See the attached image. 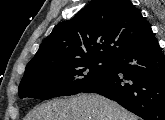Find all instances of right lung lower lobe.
Masks as SVG:
<instances>
[{
  "mask_svg": "<svg viewBox=\"0 0 165 120\" xmlns=\"http://www.w3.org/2000/svg\"><path fill=\"white\" fill-rule=\"evenodd\" d=\"M82 92L103 95L144 120H165V57L155 36L114 59L110 73Z\"/></svg>",
  "mask_w": 165,
  "mask_h": 120,
  "instance_id": "obj_1",
  "label": "right lung lower lobe"
}]
</instances>
